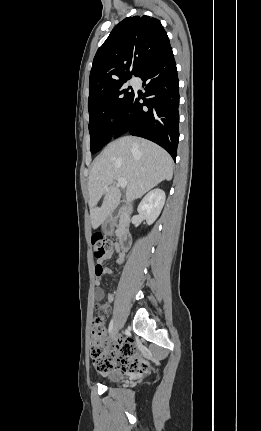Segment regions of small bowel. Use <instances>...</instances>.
Returning <instances> with one entry per match:
<instances>
[{
	"label": "small bowel",
	"instance_id": "small-bowel-1",
	"mask_svg": "<svg viewBox=\"0 0 261 431\" xmlns=\"http://www.w3.org/2000/svg\"><path fill=\"white\" fill-rule=\"evenodd\" d=\"M114 250L118 253V256L116 258V263L118 265H121L125 262V255L124 253L119 249V247L116 245L114 247ZM112 256V251L105 257L106 259L110 258ZM99 264L102 265V263L100 262ZM113 273V271L102 265V271L100 274H96V279H95V286H96V290H95V298L97 300V302H100L104 296V290L100 287L101 284V280H102V276L106 275V274H111ZM114 295L112 293H108L107 294V303L101 305L99 308L102 311L101 316L104 319H107L110 316V313L108 312L109 310V304L113 301ZM123 339H118V342H121Z\"/></svg>",
	"mask_w": 261,
	"mask_h": 431
}]
</instances>
